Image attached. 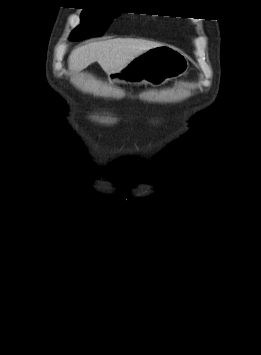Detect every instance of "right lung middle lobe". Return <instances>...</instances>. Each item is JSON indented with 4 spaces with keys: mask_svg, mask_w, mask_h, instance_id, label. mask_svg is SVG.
Wrapping results in <instances>:
<instances>
[{
    "mask_svg": "<svg viewBox=\"0 0 261 355\" xmlns=\"http://www.w3.org/2000/svg\"><path fill=\"white\" fill-rule=\"evenodd\" d=\"M121 12L84 9L81 15L82 24L73 31V39L82 40L101 36Z\"/></svg>",
    "mask_w": 261,
    "mask_h": 355,
    "instance_id": "1",
    "label": "right lung middle lobe"
}]
</instances>
